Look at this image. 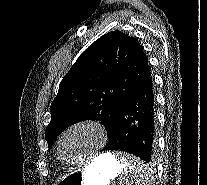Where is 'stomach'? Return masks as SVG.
<instances>
[{"label": "stomach", "mask_w": 207, "mask_h": 185, "mask_svg": "<svg viewBox=\"0 0 207 185\" xmlns=\"http://www.w3.org/2000/svg\"><path fill=\"white\" fill-rule=\"evenodd\" d=\"M121 171V163L111 153L96 157L91 163L73 169L53 185H108Z\"/></svg>", "instance_id": "stomach-1"}]
</instances>
